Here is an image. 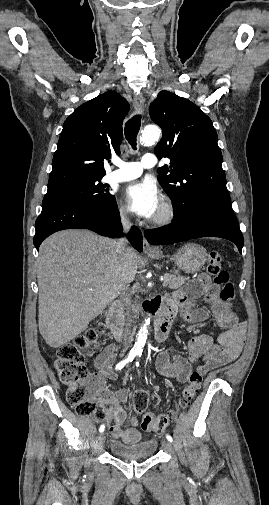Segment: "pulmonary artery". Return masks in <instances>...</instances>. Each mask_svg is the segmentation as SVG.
<instances>
[{"mask_svg":"<svg viewBox=\"0 0 269 505\" xmlns=\"http://www.w3.org/2000/svg\"><path fill=\"white\" fill-rule=\"evenodd\" d=\"M156 163L157 159L153 154H145L140 162H124L116 159L114 164L118 169L109 174L108 180L111 182H124L135 179L142 174L144 168H152Z\"/></svg>","mask_w":269,"mask_h":505,"instance_id":"obj_1","label":"pulmonary artery"}]
</instances>
